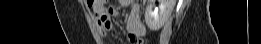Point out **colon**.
Wrapping results in <instances>:
<instances>
[{
	"instance_id": "colon-1",
	"label": "colon",
	"mask_w": 261,
	"mask_h": 44,
	"mask_svg": "<svg viewBox=\"0 0 261 44\" xmlns=\"http://www.w3.org/2000/svg\"><path fill=\"white\" fill-rule=\"evenodd\" d=\"M105 2H106V1H103V0L90 1V2H89V5H90V6H95L96 4L102 5V4H104ZM136 43H141V41L138 40Z\"/></svg>"
}]
</instances>
